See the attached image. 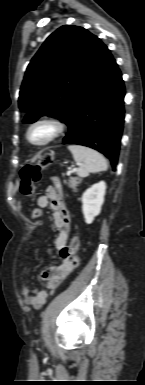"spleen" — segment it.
<instances>
[{
    "mask_svg": "<svg viewBox=\"0 0 145 385\" xmlns=\"http://www.w3.org/2000/svg\"><path fill=\"white\" fill-rule=\"evenodd\" d=\"M68 149L74 160L80 166L76 172L80 177H87L90 173L106 171L108 164L102 154L82 145H69Z\"/></svg>",
    "mask_w": 145,
    "mask_h": 385,
    "instance_id": "obj_1",
    "label": "spleen"
}]
</instances>
